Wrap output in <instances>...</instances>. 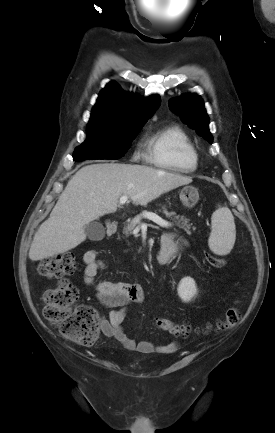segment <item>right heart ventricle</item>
<instances>
[{
    "mask_svg": "<svg viewBox=\"0 0 275 433\" xmlns=\"http://www.w3.org/2000/svg\"><path fill=\"white\" fill-rule=\"evenodd\" d=\"M146 158L160 168L182 173L193 172L198 164L190 137L177 125L160 128L149 137Z\"/></svg>",
    "mask_w": 275,
    "mask_h": 433,
    "instance_id": "obj_1",
    "label": "right heart ventricle"
}]
</instances>
